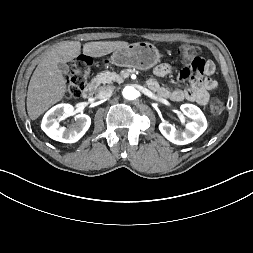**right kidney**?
<instances>
[{"mask_svg": "<svg viewBox=\"0 0 253 253\" xmlns=\"http://www.w3.org/2000/svg\"><path fill=\"white\" fill-rule=\"evenodd\" d=\"M74 114L70 104H58L52 107L43 117L41 128L52 139L63 143L77 142L89 129L91 118L85 114L75 116V122L68 128L60 127L58 119Z\"/></svg>", "mask_w": 253, "mask_h": 253, "instance_id": "1", "label": "right kidney"}]
</instances>
